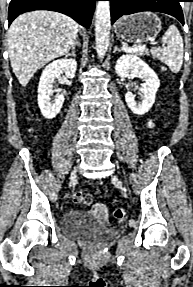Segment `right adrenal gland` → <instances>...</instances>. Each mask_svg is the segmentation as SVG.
Returning a JSON list of instances; mask_svg holds the SVG:
<instances>
[{
  "mask_svg": "<svg viewBox=\"0 0 193 287\" xmlns=\"http://www.w3.org/2000/svg\"><path fill=\"white\" fill-rule=\"evenodd\" d=\"M76 46H79L80 47V44L78 42L74 43L72 45V52L70 55H72L73 57H75V50H76Z\"/></svg>",
  "mask_w": 193,
  "mask_h": 287,
  "instance_id": "obj_1",
  "label": "right adrenal gland"
}]
</instances>
